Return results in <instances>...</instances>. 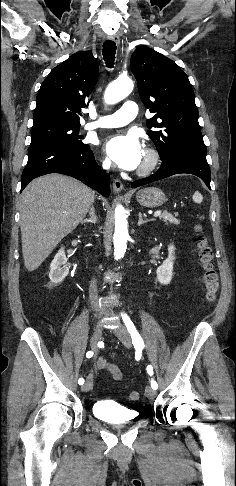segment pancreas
<instances>
[{"mask_svg":"<svg viewBox=\"0 0 236 486\" xmlns=\"http://www.w3.org/2000/svg\"><path fill=\"white\" fill-rule=\"evenodd\" d=\"M160 219H162L166 224H175L179 225L180 220L174 217L171 213H163L160 215Z\"/></svg>","mask_w":236,"mask_h":486,"instance_id":"obj_1","label":"pancreas"}]
</instances>
